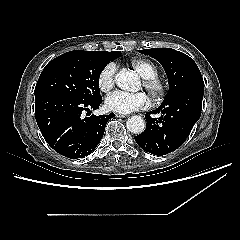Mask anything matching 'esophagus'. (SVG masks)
Wrapping results in <instances>:
<instances>
[{
  "instance_id": "esophagus-1",
  "label": "esophagus",
  "mask_w": 240,
  "mask_h": 240,
  "mask_svg": "<svg viewBox=\"0 0 240 240\" xmlns=\"http://www.w3.org/2000/svg\"><path fill=\"white\" fill-rule=\"evenodd\" d=\"M115 116L118 117V118H126V117H128L129 115H123V114H118V113H116Z\"/></svg>"
}]
</instances>
